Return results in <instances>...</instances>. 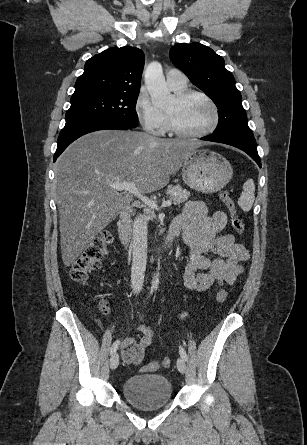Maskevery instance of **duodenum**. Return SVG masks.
<instances>
[{
	"label": "duodenum",
	"instance_id": "1",
	"mask_svg": "<svg viewBox=\"0 0 307 445\" xmlns=\"http://www.w3.org/2000/svg\"><path fill=\"white\" fill-rule=\"evenodd\" d=\"M131 216L132 208L127 206L122 210L118 220V233L123 245L128 246L131 241ZM179 232L170 226L168 235L162 245V248L168 250L172 247L175 238Z\"/></svg>",
	"mask_w": 307,
	"mask_h": 445
}]
</instances>
